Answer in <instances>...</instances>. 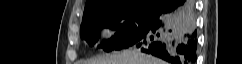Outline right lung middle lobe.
Returning <instances> with one entry per match:
<instances>
[{"label": "right lung middle lobe", "mask_w": 242, "mask_h": 64, "mask_svg": "<svg viewBox=\"0 0 242 64\" xmlns=\"http://www.w3.org/2000/svg\"><path fill=\"white\" fill-rule=\"evenodd\" d=\"M158 18V10L152 8H133L99 14L83 20L80 28L81 38L93 46L102 28L115 30L114 36L103 40L100 47L106 52L127 48L143 35Z\"/></svg>", "instance_id": "obj_1"}]
</instances>
